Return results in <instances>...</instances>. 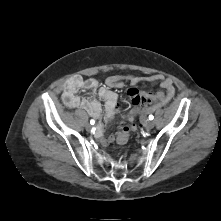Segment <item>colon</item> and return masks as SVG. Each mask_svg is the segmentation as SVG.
<instances>
[{
	"instance_id": "1",
	"label": "colon",
	"mask_w": 221,
	"mask_h": 221,
	"mask_svg": "<svg viewBox=\"0 0 221 221\" xmlns=\"http://www.w3.org/2000/svg\"><path fill=\"white\" fill-rule=\"evenodd\" d=\"M151 100V97L147 95V99L143 103H138L135 106L134 111H130L123 119V122L119 124V129L115 136V143L117 145H123L127 142V140L131 139V130L137 129L135 120L138 118V115H141L142 113L145 115L149 112L150 107L152 106Z\"/></svg>"
}]
</instances>
